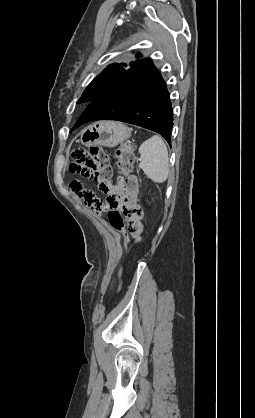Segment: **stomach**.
Segmentation results:
<instances>
[{
    "mask_svg": "<svg viewBox=\"0 0 255 418\" xmlns=\"http://www.w3.org/2000/svg\"><path fill=\"white\" fill-rule=\"evenodd\" d=\"M131 136V129L115 122H99L83 130L81 142L85 146L114 147Z\"/></svg>",
    "mask_w": 255,
    "mask_h": 418,
    "instance_id": "stomach-1",
    "label": "stomach"
}]
</instances>
